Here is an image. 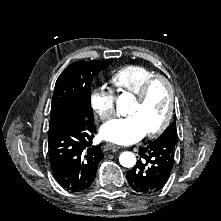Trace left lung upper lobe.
<instances>
[{
    "label": "left lung upper lobe",
    "instance_id": "left-lung-upper-lobe-1",
    "mask_svg": "<svg viewBox=\"0 0 221 221\" xmlns=\"http://www.w3.org/2000/svg\"><path fill=\"white\" fill-rule=\"evenodd\" d=\"M167 138L177 141V129L176 122L174 121L167 129L163 132V134L158 138Z\"/></svg>",
    "mask_w": 221,
    "mask_h": 221
}]
</instances>
